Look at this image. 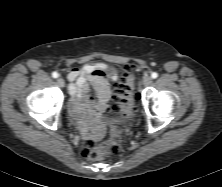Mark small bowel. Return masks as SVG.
Segmentation results:
<instances>
[{
	"mask_svg": "<svg viewBox=\"0 0 222 187\" xmlns=\"http://www.w3.org/2000/svg\"><path fill=\"white\" fill-rule=\"evenodd\" d=\"M118 79L119 72L110 71L105 63L86 64L73 68L68 74V80L71 82L69 93L72 96L73 116L80 117L86 111L102 112L110 99V86Z\"/></svg>",
	"mask_w": 222,
	"mask_h": 187,
	"instance_id": "c3829d8e",
	"label": "small bowel"
}]
</instances>
